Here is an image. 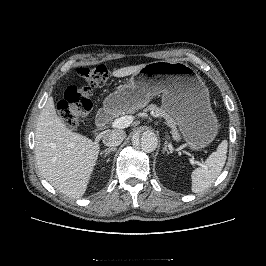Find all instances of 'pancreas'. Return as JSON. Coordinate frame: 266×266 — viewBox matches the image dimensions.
<instances>
[{
  "label": "pancreas",
  "mask_w": 266,
  "mask_h": 266,
  "mask_svg": "<svg viewBox=\"0 0 266 266\" xmlns=\"http://www.w3.org/2000/svg\"><path fill=\"white\" fill-rule=\"evenodd\" d=\"M146 110L153 111L154 114L164 118L167 122V125L171 128V133H172L173 139L176 141H179L181 139V137L178 133V130L176 128V122L168 113H166L163 109L157 107L154 104L149 105Z\"/></svg>",
  "instance_id": "obj_1"
}]
</instances>
